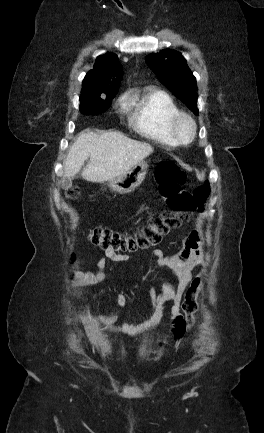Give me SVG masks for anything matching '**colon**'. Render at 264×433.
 <instances>
[{
    "label": "colon",
    "instance_id": "5ec220e1",
    "mask_svg": "<svg viewBox=\"0 0 264 433\" xmlns=\"http://www.w3.org/2000/svg\"><path fill=\"white\" fill-rule=\"evenodd\" d=\"M159 191L171 211H164L150 217L148 223L133 234L115 232L97 227L90 231L89 240L105 252L122 254L146 249L160 242L163 236L187 221L192 214L202 209L209 195L208 183L198 186L193 193L183 189L186 174L183 169L172 161L162 162L156 172ZM79 194L78 188L67 191L69 198ZM202 276L195 277L189 285L182 303V310L187 326L194 323V313L197 310V298L202 288Z\"/></svg>",
    "mask_w": 264,
    "mask_h": 433
}]
</instances>
